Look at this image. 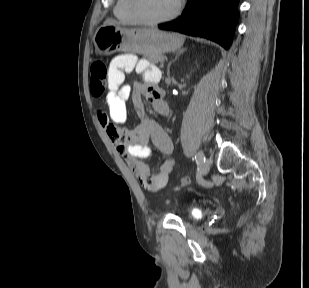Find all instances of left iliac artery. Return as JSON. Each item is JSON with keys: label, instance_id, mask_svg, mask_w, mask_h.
Returning <instances> with one entry per match:
<instances>
[{"label": "left iliac artery", "instance_id": "obj_1", "mask_svg": "<svg viewBox=\"0 0 309 288\" xmlns=\"http://www.w3.org/2000/svg\"><path fill=\"white\" fill-rule=\"evenodd\" d=\"M195 160L197 162V164H202L203 162H205V156L202 152H198L195 155Z\"/></svg>", "mask_w": 309, "mask_h": 288}]
</instances>
